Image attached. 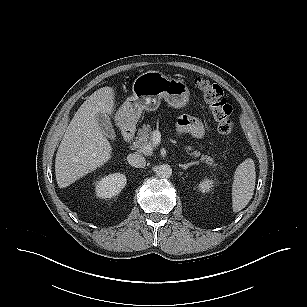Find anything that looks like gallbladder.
I'll list each match as a JSON object with an SVG mask.
<instances>
[{
	"label": "gallbladder",
	"instance_id": "gallbladder-1",
	"mask_svg": "<svg viewBox=\"0 0 307 307\" xmlns=\"http://www.w3.org/2000/svg\"><path fill=\"white\" fill-rule=\"evenodd\" d=\"M95 118L102 132L114 140L116 135L109 117L104 113L98 112Z\"/></svg>",
	"mask_w": 307,
	"mask_h": 307
}]
</instances>
